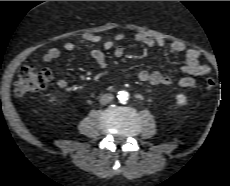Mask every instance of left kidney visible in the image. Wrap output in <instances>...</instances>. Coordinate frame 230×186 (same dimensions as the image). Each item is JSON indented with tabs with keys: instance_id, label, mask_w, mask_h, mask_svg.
<instances>
[{
	"instance_id": "left-kidney-1",
	"label": "left kidney",
	"mask_w": 230,
	"mask_h": 186,
	"mask_svg": "<svg viewBox=\"0 0 230 186\" xmlns=\"http://www.w3.org/2000/svg\"><path fill=\"white\" fill-rule=\"evenodd\" d=\"M176 100L178 105H186L187 104V97L184 94L176 95Z\"/></svg>"
}]
</instances>
